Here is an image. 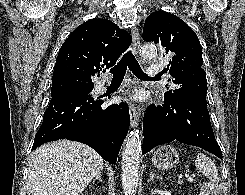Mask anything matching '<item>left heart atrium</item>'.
<instances>
[{"label": "left heart atrium", "instance_id": "left-heart-atrium-1", "mask_svg": "<svg viewBox=\"0 0 245 195\" xmlns=\"http://www.w3.org/2000/svg\"><path fill=\"white\" fill-rule=\"evenodd\" d=\"M132 101H135V102H138V101H141L143 99V95L138 92V91H135L133 92L130 97H129Z\"/></svg>", "mask_w": 245, "mask_h": 195}]
</instances>
